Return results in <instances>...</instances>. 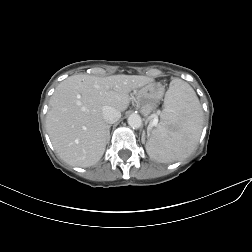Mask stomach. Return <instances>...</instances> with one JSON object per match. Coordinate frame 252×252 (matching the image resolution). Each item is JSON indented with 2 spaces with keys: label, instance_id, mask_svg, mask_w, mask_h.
<instances>
[{
  "label": "stomach",
  "instance_id": "obj_1",
  "mask_svg": "<svg viewBox=\"0 0 252 252\" xmlns=\"http://www.w3.org/2000/svg\"><path fill=\"white\" fill-rule=\"evenodd\" d=\"M164 95V86L160 83L151 82L136 92V101L141 112L148 116L153 112ZM170 129H172L170 127Z\"/></svg>",
  "mask_w": 252,
  "mask_h": 252
}]
</instances>
